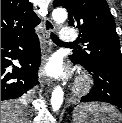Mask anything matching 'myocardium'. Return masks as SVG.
<instances>
[{
    "instance_id": "1",
    "label": "myocardium",
    "mask_w": 122,
    "mask_h": 123,
    "mask_svg": "<svg viewBox=\"0 0 122 123\" xmlns=\"http://www.w3.org/2000/svg\"><path fill=\"white\" fill-rule=\"evenodd\" d=\"M92 83L93 80L90 75L86 73L81 74L75 82V86H74L75 93L82 94L87 92L91 88Z\"/></svg>"
}]
</instances>
